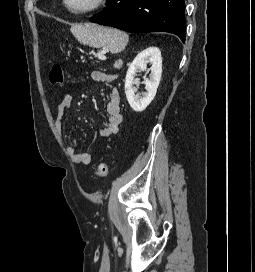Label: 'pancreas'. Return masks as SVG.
<instances>
[{
    "label": "pancreas",
    "instance_id": "1",
    "mask_svg": "<svg viewBox=\"0 0 255 272\" xmlns=\"http://www.w3.org/2000/svg\"><path fill=\"white\" fill-rule=\"evenodd\" d=\"M114 67H115V69H120L121 68V63L115 62Z\"/></svg>",
    "mask_w": 255,
    "mask_h": 272
}]
</instances>
